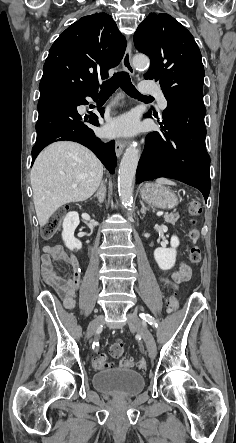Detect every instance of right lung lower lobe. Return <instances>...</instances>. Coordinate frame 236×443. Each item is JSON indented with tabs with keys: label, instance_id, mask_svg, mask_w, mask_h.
<instances>
[{
	"label": "right lung lower lobe",
	"instance_id": "98d812e1",
	"mask_svg": "<svg viewBox=\"0 0 236 443\" xmlns=\"http://www.w3.org/2000/svg\"><path fill=\"white\" fill-rule=\"evenodd\" d=\"M97 91L71 93L62 90L40 92L38 102L37 139L32 149V164L47 145L62 140L78 142L92 150L110 173H114L117 164L115 142H101L88 124L99 126L95 114L81 117L77 106L87 104L85 97L97 99ZM103 117V108L99 109Z\"/></svg>",
	"mask_w": 236,
	"mask_h": 443
}]
</instances>
